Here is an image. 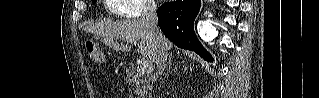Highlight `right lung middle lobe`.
I'll return each mask as SVG.
<instances>
[{
  "mask_svg": "<svg viewBox=\"0 0 319 98\" xmlns=\"http://www.w3.org/2000/svg\"><path fill=\"white\" fill-rule=\"evenodd\" d=\"M97 0H92L93 3H95Z\"/></svg>",
  "mask_w": 319,
  "mask_h": 98,
  "instance_id": "obj_1",
  "label": "right lung middle lobe"
}]
</instances>
